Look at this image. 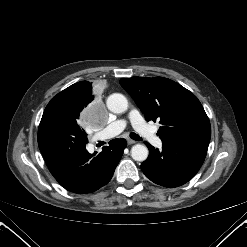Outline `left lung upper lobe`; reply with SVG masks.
I'll list each match as a JSON object with an SVG mask.
<instances>
[{"label":"left lung upper lobe","mask_w":247,"mask_h":247,"mask_svg":"<svg viewBox=\"0 0 247 247\" xmlns=\"http://www.w3.org/2000/svg\"><path fill=\"white\" fill-rule=\"evenodd\" d=\"M147 121L159 120L157 132L163 143L184 138L211 137L208 116L197 97L180 84L164 78L120 79Z\"/></svg>","instance_id":"left-lung-upper-lobe-1"}]
</instances>
